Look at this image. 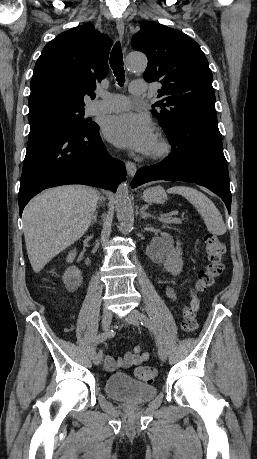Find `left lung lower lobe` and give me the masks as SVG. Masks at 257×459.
Listing matches in <instances>:
<instances>
[{"label":"left lung lower lobe","instance_id":"1","mask_svg":"<svg viewBox=\"0 0 257 459\" xmlns=\"http://www.w3.org/2000/svg\"><path fill=\"white\" fill-rule=\"evenodd\" d=\"M171 154L163 162L140 168L131 182L136 188L149 181H185L205 186L231 208L227 161L214 114L185 117L165 132Z\"/></svg>","mask_w":257,"mask_h":459}]
</instances>
